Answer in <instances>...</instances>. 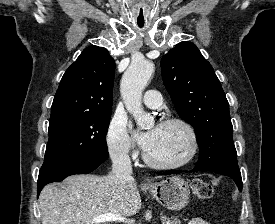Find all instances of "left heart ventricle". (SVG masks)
<instances>
[{
    "label": "left heart ventricle",
    "instance_id": "left-heart-ventricle-1",
    "mask_svg": "<svg viewBox=\"0 0 275 224\" xmlns=\"http://www.w3.org/2000/svg\"><path fill=\"white\" fill-rule=\"evenodd\" d=\"M154 128H156L155 137L147 150L154 160L174 163L186 157L190 149V139L182 126L173 124Z\"/></svg>",
    "mask_w": 275,
    "mask_h": 224
}]
</instances>
